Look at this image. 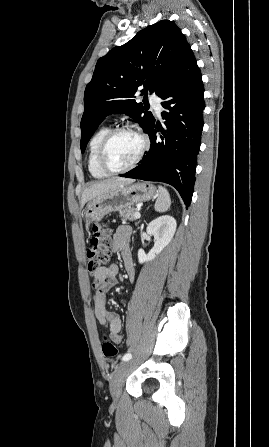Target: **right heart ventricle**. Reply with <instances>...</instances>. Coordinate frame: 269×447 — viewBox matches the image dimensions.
<instances>
[{
    "mask_svg": "<svg viewBox=\"0 0 269 447\" xmlns=\"http://www.w3.org/2000/svg\"><path fill=\"white\" fill-rule=\"evenodd\" d=\"M110 130L111 127L109 126L98 128L89 142L88 169L96 178H103L109 175L99 164V151L104 137Z\"/></svg>",
    "mask_w": 269,
    "mask_h": 447,
    "instance_id": "obj_1",
    "label": "right heart ventricle"
}]
</instances>
